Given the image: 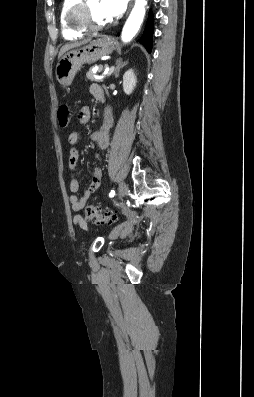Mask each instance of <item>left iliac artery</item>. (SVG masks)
<instances>
[{
  "instance_id": "obj_1",
  "label": "left iliac artery",
  "mask_w": 254,
  "mask_h": 397,
  "mask_svg": "<svg viewBox=\"0 0 254 397\" xmlns=\"http://www.w3.org/2000/svg\"><path fill=\"white\" fill-rule=\"evenodd\" d=\"M114 195H115L114 190H111L110 193H109V196H110V197H113Z\"/></svg>"
}]
</instances>
